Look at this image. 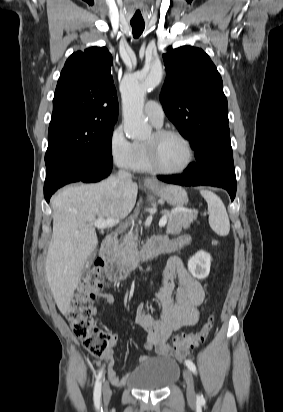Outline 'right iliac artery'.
<instances>
[{"mask_svg":"<svg viewBox=\"0 0 283 412\" xmlns=\"http://www.w3.org/2000/svg\"><path fill=\"white\" fill-rule=\"evenodd\" d=\"M103 376V369H101L96 378V383L94 387V405L97 409L100 407L101 400V378Z\"/></svg>","mask_w":283,"mask_h":412,"instance_id":"obj_1","label":"right iliac artery"}]
</instances>
